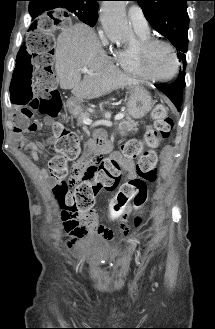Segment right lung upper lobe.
Listing matches in <instances>:
<instances>
[{"label":"right lung upper lobe","instance_id":"obj_1","mask_svg":"<svg viewBox=\"0 0 215 329\" xmlns=\"http://www.w3.org/2000/svg\"><path fill=\"white\" fill-rule=\"evenodd\" d=\"M31 2H36L38 5H40V15L44 11L52 10L55 8H63V4L66 2H72V3H80L83 4L87 9V14L91 16L92 18L97 19V9L98 4L97 1L99 0H29ZM37 17V16H36Z\"/></svg>","mask_w":215,"mask_h":329}]
</instances>
